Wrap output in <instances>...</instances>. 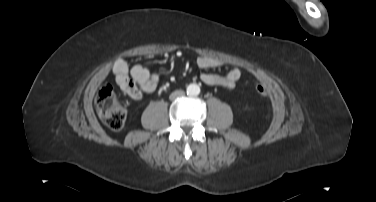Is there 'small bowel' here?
Returning a JSON list of instances; mask_svg holds the SVG:
<instances>
[{
    "label": "small bowel",
    "instance_id": "c3829d8e",
    "mask_svg": "<svg viewBox=\"0 0 376 202\" xmlns=\"http://www.w3.org/2000/svg\"><path fill=\"white\" fill-rule=\"evenodd\" d=\"M227 63L217 57L200 56L197 65L200 69L220 68ZM113 74L118 87L133 100H139L142 93L156 90L160 77L143 65L129 67L123 59H118L113 65ZM241 70L237 67L225 73L206 72L201 75V81L210 86L232 88L241 78Z\"/></svg>",
    "mask_w": 376,
    "mask_h": 202
}]
</instances>
